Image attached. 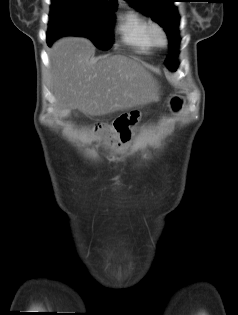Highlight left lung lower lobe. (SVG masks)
I'll list each match as a JSON object with an SVG mask.
<instances>
[{
	"label": "left lung lower lobe",
	"instance_id": "1",
	"mask_svg": "<svg viewBox=\"0 0 238 315\" xmlns=\"http://www.w3.org/2000/svg\"><path fill=\"white\" fill-rule=\"evenodd\" d=\"M179 42H180V38H179L178 35L172 37V38L169 40V50H170L169 53H170V55L173 56L174 59H176L177 56H178L177 48H178Z\"/></svg>",
	"mask_w": 238,
	"mask_h": 315
}]
</instances>
